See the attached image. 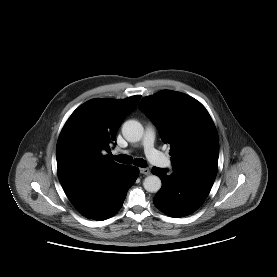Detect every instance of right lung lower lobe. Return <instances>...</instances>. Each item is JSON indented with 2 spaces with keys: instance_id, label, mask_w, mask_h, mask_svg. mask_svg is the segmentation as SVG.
Here are the masks:
<instances>
[{
  "instance_id": "1",
  "label": "right lung lower lobe",
  "mask_w": 277,
  "mask_h": 277,
  "mask_svg": "<svg viewBox=\"0 0 277 277\" xmlns=\"http://www.w3.org/2000/svg\"><path fill=\"white\" fill-rule=\"evenodd\" d=\"M138 175L137 167L120 165L89 187L68 195V198L86 218L105 220L121 208Z\"/></svg>"
}]
</instances>
